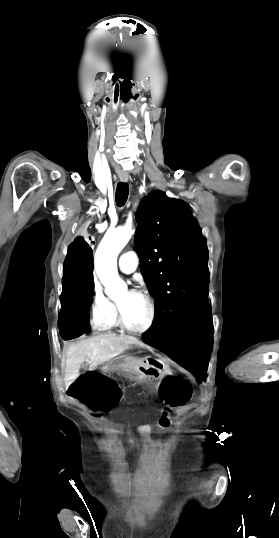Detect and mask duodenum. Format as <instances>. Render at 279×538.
<instances>
[{"label":"duodenum","mask_w":279,"mask_h":538,"mask_svg":"<svg viewBox=\"0 0 279 538\" xmlns=\"http://www.w3.org/2000/svg\"><path fill=\"white\" fill-rule=\"evenodd\" d=\"M104 369H107V366H104ZM127 366H124V369H121V372H126ZM150 366L148 364L139 365L138 373L140 376L153 377L156 378L158 373L156 371L148 372ZM128 372H134V369H131V366H128ZM143 381H146V378H143ZM147 381H150V378H147ZM135 382H142V377H135ZM144 385H147V382H144ZM148 385H151V382H148ZM147 389H150V386H147Z\"/></svg>","instance_id":"410a0bca"}]
</instances>
